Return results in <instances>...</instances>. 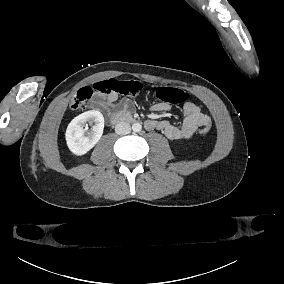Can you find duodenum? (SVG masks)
<instances>
[{
    "instance_id": "410a0bca",
    "label": "duodenum",
    "mask_w": 284,
    "mask_h": 284,
    "mask_svg": "<svg viewBox=\"0 0 284 284\" xmlns=\"http://www.w3.org/2000/svg\"><path fill=\"white\" fill-rule=\"evenodd\" d=\"M133 120V117L127 113H118L115 112L111 116V122L112 124H120L123 122H131Z\"/></svg>"
}]
</instances>
